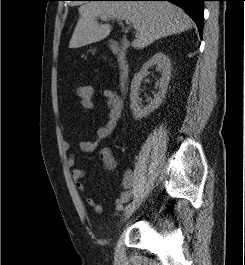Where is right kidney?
<instances>
[{
	"label": "right kidney",
	"instance_id": "obj_1",
	"mask_svg": "<svg viewBox=\"0 0 245 265\" xmlns=\"http://www.w3.org/2000/svg\"><path fill=\"white\" fill-rule=\"evenodd\" d=\"M156 66L162 77L156 82L159 91L154 98L146 105H142V99L139 97V89L143 78L149 75V68ZM171 77V62L168 56L162 52L154 54L146 63L143 64L140 71L134 76L131 82L130 108L134 119H142L157 109L162 103Z\"/></svg>",
	"mask_w": 245,
	"mask_h": 265
}]
</instances>
